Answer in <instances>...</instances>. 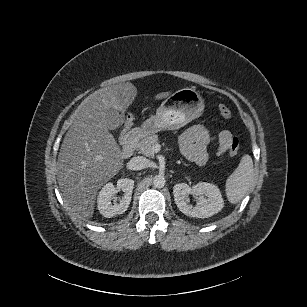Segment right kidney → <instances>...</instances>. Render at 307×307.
<instances>
[{"label": "right kidney", "instance_id": "obj_1", "mask_svg": "<svg viewBox=\"0 0 307 307\" xmlns=\"http://www.w3.org/2000/svg\"><path fill=\"white\" fill-rule=\"evenodd\" d=\"M133 187L134 181L128 178L119 179L117 182V188H115L112 183H107L99 192L97 199L100 213L106 218H111L115 215L124 213L129 207ZM116 189H121L124 192V196L119 204L112 205L111 200L117 191Z\"/></svg>", "mask_w": 307, "mask_h": 307}]
</instances>
